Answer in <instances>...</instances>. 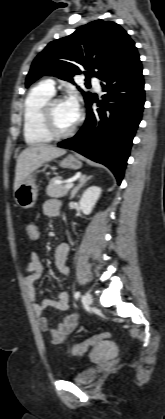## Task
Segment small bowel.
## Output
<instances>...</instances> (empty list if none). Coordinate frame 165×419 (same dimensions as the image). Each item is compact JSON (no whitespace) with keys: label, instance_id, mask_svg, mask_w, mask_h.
Segmentation results:
<instances>
[{"label":"small bowel","instance_id":"obj_1","mask_svg":"<svg viewBox=\"0 0 165 419\" xmlns=\"http://www.w3.org/2000/svg\"><path fill=\"white\" fill-rule=\"evenodd\" d=\"M61 205L55 199H48L43 204V213L46 216L55 217L60 213ZM35 235L29 232V224L27 226L28 237L36 240L39 237V229L36 224ZM70 255V246L67 243L59 244L54 253L55 267L59 275L68 276L70 273L67 260ZM42 264L37 252H32L25 275V285L30 301L32 302L34 312L38 319V325L43 332H49L52 344H64L79 325L80 316L78 313H72L61 318V320L52 326L44 311L47 308H54L65 311L69 307V294L66 291L59 292L57 299H44L39 301L36 292V283L42 273Z\"/></svg>","mask_w":165,"mask_h":419}]
</instances>
